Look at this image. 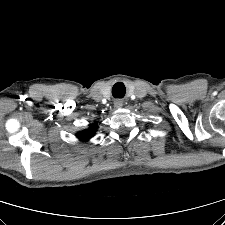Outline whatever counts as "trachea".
I'll use <instances>...</instances> for the list:
<instances>
[{
    "label": "trachea",
    "mask_w": 225,
    "mask_h": 225,
    "mask_svg": "<svg viewBox=\"0 0 225 225\" xmlns=\"http://www.w3.org/2000/svg\"><path fill=\"white\" fill-rule=\"evenodd\" d=\"M113 96L114 97H119V95L115 94V92H113Z\"/></svg>",
    "instance_id": "1"
}]
</instances>
